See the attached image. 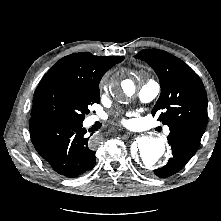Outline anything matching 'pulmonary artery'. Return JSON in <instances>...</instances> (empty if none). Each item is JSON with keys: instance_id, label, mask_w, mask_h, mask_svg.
<instances>
[{"instance_id": "1", "label": "pulmonary artery", "mask_w": 221, "mask_h": 221, "mask_svg": "<svg viewBox=\"0 0 221 221\" xmlns=\"http://www.w3.org/2000/svg\"><path fill=\"white\" fill-rule=\"evenodd\" d=\"M160 92V85L155 80H148L140 89L139 96L142 102L148 103L152 101ZM98 118L93 116L91 121H95ZM170 130L165 129V134H169Z\"/></svg>"}]
</instances>
